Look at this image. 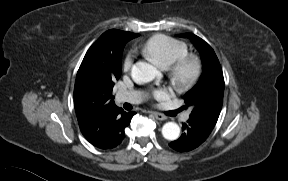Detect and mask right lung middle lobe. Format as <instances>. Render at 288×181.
Wrapping results in <instances>:
<instances>
[{
    "mask_svg": "<svg viewBox=\"0 0 288 181\" xmlns=\"http://www.w3.org/2000/svg\"><path fill=\"white\" fill-rule=\"evenodd\" d=\"M125 44L126 42H122L115 53L111 55L112 70L116 79H119L121 75V56Z\"/></svg>",
    "mask_w": 288,
    "mask_h": 181,
    "instance_id": "1",
    "label": "right lung middle lobe"
}]
</instances>
